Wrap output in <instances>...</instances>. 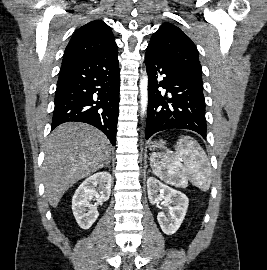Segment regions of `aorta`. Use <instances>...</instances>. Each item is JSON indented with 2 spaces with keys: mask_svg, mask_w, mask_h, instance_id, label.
<instances>
[{
  "mask_svg": "<svg viewBox=\"0 0 267 270\" xmlns=\"http://www.w3.org/2000/svg\"><path fill=\"white\" fill-rule=\"evenodd\" d=\"M140 96H141V112L145 113L148 104V76L146 72H143L140 80Z\"/></svg>",
  "mask_w": 267,
  "mask_h": 270,
  "instance_id": "762f6f07",
  "label": "aorta"
}]
</instances>
